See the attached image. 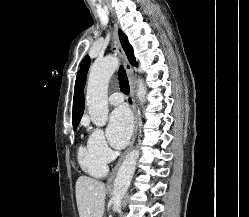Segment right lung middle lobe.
<instances>
[{
    "instance_id": "1",
    "label": "right lung middle lobe",
    "mask_w": 249,
    "mask_h": 217,
    "mask_svg": "<svg viewBox=\"0 0 249 217\" xmlns=\"http://www.w3.org/2000/svg\"><path fill=\"white\" fill-rule=\"evenodd\" d=\"M77 126H73V129L75 130Z\"/></svg>"
}]
</instances>
